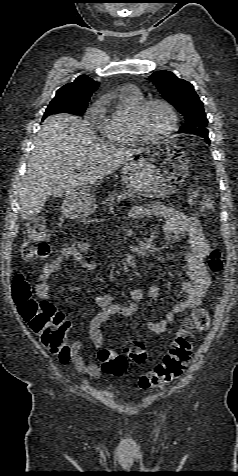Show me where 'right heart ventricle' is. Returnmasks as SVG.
Returning <instances> with one entry per match:
<instances>
[{
    "mask_svg": "<svg viewBox=\"0 0 238 476\" xmlns=\"http://www.w3.org/2000/svg\"><path fill=\"white\" fill-rule=\"evenodd\" d=\"M110 109L99 110L100 131L111 144L123 146L139 142L131 128V117L136 107L144 100L136 90L123 89L112 96Z\"/></svg>",
    "mask_w": 238,
    "mask_h": 476,
    "instance_id": "right-heart-ventricle-1",
    "label": "right heart ventricle"
}]
</instances>
